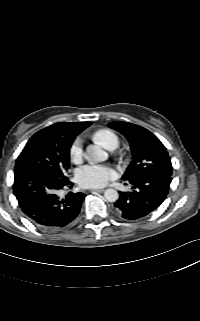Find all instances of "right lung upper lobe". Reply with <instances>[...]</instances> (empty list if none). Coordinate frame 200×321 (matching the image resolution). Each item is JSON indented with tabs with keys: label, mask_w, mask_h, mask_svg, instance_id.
<instances>
[{
	"label": "right lung upper lobe",
	"mask_w": 200,
	"mask_h": 321,
	"mask_svg": "<svg viewBox=\"0 0 200 321\" xmlns=\"http://www.w3.org/2000/svg\"><path fill=\"white\" fill-rule=\"evenodd\" d=\"M90 124L91 122H59L46 127V129L56 140L72 143L75 137Z\"/></svg>",
	"instance_id": "1"
}]
</instances>
